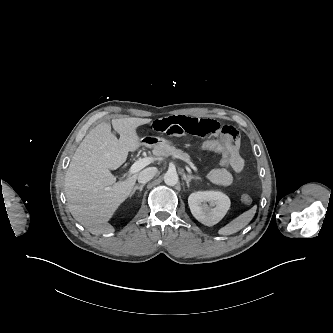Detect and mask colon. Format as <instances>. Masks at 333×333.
<instances>
[{
    "label": "colon",
    "mask_w": 333,
    "mask_h": 333,
    "mask_svg": "<svg viewBox=\"0 0 333 333\" xmlns=\"http://www.w3.org/2000/svg\"><path fill=\"white\" fill-rule=\"evenodd\" d=\"M199 148L204 151L213 152L219 155L220 164L222 165L223 168L226 169L232 168V159L229 154V151L219 142L214 140H205L199 144ZM238 174L239 173L235 174V177L238 178ZM241 200L244 204H250L252 202V198L248 194L242 195Z\"/></svg>",
    "instance_id": "colon-1"
}]
</instances>
